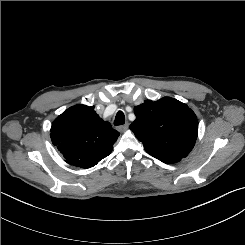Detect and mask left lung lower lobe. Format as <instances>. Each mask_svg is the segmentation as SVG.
Segmentation results:
<instances>
[{"label": "left lung lower lobe", "instance_id": "left-lung-lower-lobe-1", "mask_svg": "<svg viewBox=\"0 0 245 245\" xmlns=\"http://www.w3.org/2000/svg\"><path fill=\"white\" fill-rule=\"evenodd\" d=\"M155 157V156H153ZM155 158L159 159L160 161L166 163V164H171L180 161L179 159L172 158V157H166V156H156Z\"/></svg>", "mask_w": 245, "mask_h": 245}]
</instances>
